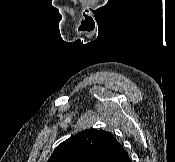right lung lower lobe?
I'll return each instance as SVG.
<instances>
[{
    "mask_svg": "<svg viewBox=\"0 0 175 162\" xmlns=\"http://www.w3.org/2000/svg\"><path fill=\"white\" fill-rule=\"evenodd\" d=\"M118 162H131L130 158L128 157V155L124 156L121 160H119Z\"/></svg>",
    "mask_w": 175,
    "mask_h": 162,
    "instance_id": "obj_1",
    "label": "right lung lower lobe"
}]
</instances>
